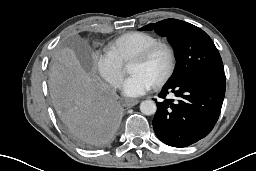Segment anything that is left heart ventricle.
<instances>
[{"instance_id": "1", "label": "left heart ventricle", "mask_w": 256, "mask_h": 171, "mask_svg": "<svg viewBox=\"0 0 256 171\" xmlns=\"http://www.w3.org/2000/svg\"><path fill=\"white\" fill-rule=\"evenodd\" d=\"M169 65V56L166 50H158L148 61H133L130 65L131 73H141L154 84L165 74Z\"/></svg>"}]
</instances>
